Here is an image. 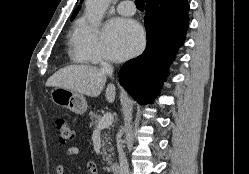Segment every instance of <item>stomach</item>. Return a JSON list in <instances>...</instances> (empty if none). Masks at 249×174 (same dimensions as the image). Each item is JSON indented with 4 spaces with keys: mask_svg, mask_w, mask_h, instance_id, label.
I'll list each match as a JSON object with an SVG mask.
<instances>
[{
    "mask_svg": "<svg viewBox=\"0 0 249 174\" xmlns=\"http://www.w3.org/2000/svg\"><path fill=\"white\" fill-rule=\"evenodd\" d=\"M50 96L53 103L61 107H66L76 114H83L87 110V101L78 92L63 87H54Z\"/></svg>",
    "mask_w": 249,
    "mask_h": 174,
    "instance_id": "stomach-1",
    "label": "stomach"
}]
</instances>
